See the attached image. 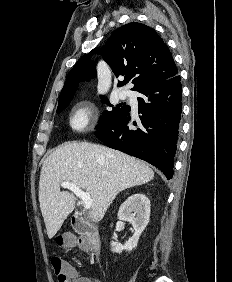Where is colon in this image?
<instances>
[{"label": "colon", "mask_w": 232, "mask_h": 282, "mask_svg": "<svg viewBox=\"0 0 232 282\" xmlns=\"http://www.w3.org/2000/svg\"><path fill=\"white\" fill-rule=\"evenodd\" d=\"M58 244L66 247L88 248V242L84 239H76L72 236H60ZM52 269L58 282H72L73 267L59 256H52L50 259Z\"/></svg>", "instance_id": "1"}]
</instances>
